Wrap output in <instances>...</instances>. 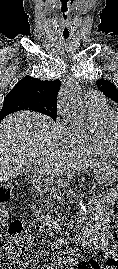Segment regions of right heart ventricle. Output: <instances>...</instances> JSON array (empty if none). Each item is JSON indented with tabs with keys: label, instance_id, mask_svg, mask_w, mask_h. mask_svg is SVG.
<instances>
[{
	"label": "right heart ventricle",
	"instance_id": "obj_1",
	"mask_svg": "<svg viewBox=\"0 0 118 269\" xmlns=\"http://www.w3.org/2000/svg\"><path fill=\"white\" fill-rule=\"evenodd\" d=\"M100 124L98 130L88 134L84 142L78 146L79 151L85 154L113 156L118 154L112 149L104 130V123L110 119L115 112L108 106L102 109L91 111Z\"/></svg>",
	"mask_w": 118,
	"mask_h": 269
}]
</instances>
